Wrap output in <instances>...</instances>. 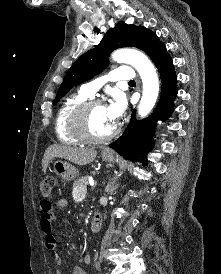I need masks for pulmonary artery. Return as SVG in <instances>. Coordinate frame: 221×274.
Wrapping results in <instances>:
<instances>
[{"label":"pulmonary artery","instance_id":"pulmonary-artery-1","mask_svg":"<svg viewBox=\"0 0 221 274\" xmlns=\"http://www.w3.org/2000/svg\"><path fill=\"white\" fill-rule=\"evenodd\" d=\"M135 77V73L132 68L122 66L114 69L108 76L110 81H132ZM106 81L105 78H100L82 85L81 90L89 96H93L102 84Z\"/></svg>","mask_w":221,"mask_h":274}]
</instances>
